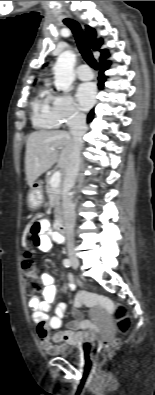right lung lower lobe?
<instances>
[{
  "label": "right lung lower lobe",
  "mask_w": 155,
  "mask_h": 395,
  "mask_svg": "<svg viewBox=\"0 0 155 395\" xmlns=\"http://www.w3.org/2000/svg\"><path fill=\"white\" fill-rule=\"evenodd\" d=\"M109 65H110V62H108V61H102L99 64L100 74H99V77H98V80H99L98 86H99L100 90H102L103 87H104V82L106 81V78H107L104 75V71L108 69ZM93 118H94V109H92L90 111V113H89V115L87 117V121L91 122L93 120Z\"/></svg>",
  "instance_id": "obj_1"
}]
</instances>
